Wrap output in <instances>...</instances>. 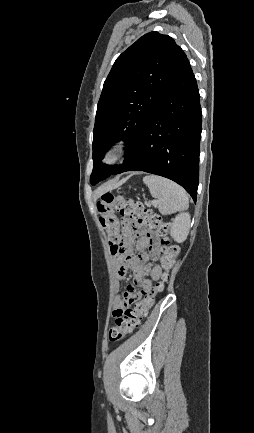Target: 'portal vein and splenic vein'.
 <instances>
[{"label":"portal vein and splenic vein","mask_w":254,"mask_h":433,"mask_svg":"<svg viewBox=\"0 0 254 433\" xmlns=\"http://www.w3.org/2000/svg\"><path fill=\"white\" fill-rule=\"evenodd\" d=\"M156 203H157V201H155V200L151 202V204H153V205L156 204Z\"/></svg>","instance_id":"obj_1"}]
</instances>
